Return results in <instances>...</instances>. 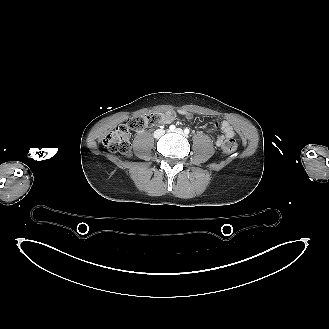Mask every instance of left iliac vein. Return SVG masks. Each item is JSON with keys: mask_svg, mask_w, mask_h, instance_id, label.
Wrapping results in <instances>:
<instances>
[{"mask_svg": "<svg viewBox=\"0 0 329 329\" xmlns=\"http://www.w3.org/2000/svg\"><path fill=\"white\" fill-rule=\"evenodd\" d=\"M174 132L178 133V134H184L183 130L180 128H177L176 130H174Z\"/></svg>", "mask_w": 329, "mask_h": 329, "instance_id": "4c4485c4", "label": "left iliac vein"}]
</instances>
